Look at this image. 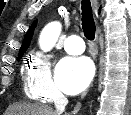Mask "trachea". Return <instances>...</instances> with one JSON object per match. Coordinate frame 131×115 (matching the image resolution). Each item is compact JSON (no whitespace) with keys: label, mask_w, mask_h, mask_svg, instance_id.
Listing matches in <instances>:
<instances>
[{"label":"trachea","mask_w":131,"mask_h":115,"mask_svg":"<svg viewBox=\"0 0 131 115\" xmlns=\"http://www.w3.org/2000/svg\"><path fill=\"white\" fill-rule=\"evenodd\" d=\"M82 29H83L85 37L88 40L94 39L96 26L93 19L90 0L82 1Z\"/></svg>","instance_id":"obj_1"}]
</instances>
